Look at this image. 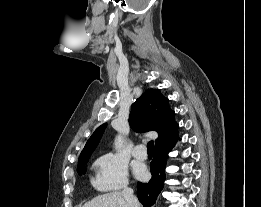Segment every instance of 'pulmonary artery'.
Instances as JSON below:
<instances>
[{"label": "pulmonary artery", "instance_id": "pulmonary-artery-1", "mask_svg": "<svg viewBox=\"0 0 261 207\" xmlns=\"http://www.w3.org/2000/svg\"><path fill=\"white\" fill-rule=\"evenodd\" d=\"M133 155L138 159H146L147 152L145 146L143 144L136 145L135 148L133 149Z\"/></svg>", "mask_w": 261, "mask_h": 207}]
</instances>
